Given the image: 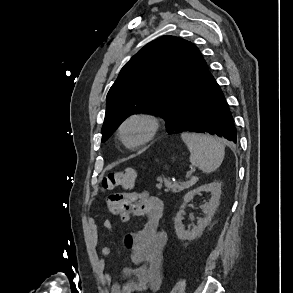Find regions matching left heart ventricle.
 Returning a JSON list of instances; mask_svg holds the SVG:
<instances>
[{"mask_svg": "<svg viewBox=\"0 0 293 293\" xmlns=\"http://www.w3.org/2000/svg\"><path fill=\"white\" fill-rule=\"evenodd\" d=\"M147 133V125L142 121L130 122L124 130L125 139L129 143L141 140Z\"/></svg>", "mask_w": 293, "mask_h": 293, "instance_id": "b2bd125f", "label": "left heart ventricle"}]
</instances>
